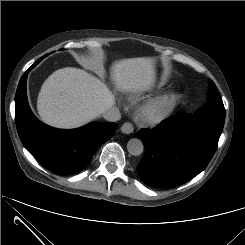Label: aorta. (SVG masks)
<instances>
[{"label": "aorta", "instance_id": "762f6f07", "mask_svg": "<svg viewBox=\"0 0 245 245\" xmlns=\"http://www.w3.org/2000/svg\"><path fill=\"white\" fill-rule=\"evenodd\" d=\"M127 150L131 155L139 156L144 150L143 142L140 139L132 138L127 143Z\"/></svg>", "mask_w": 245, "mask_h": 245}]
</instances>
